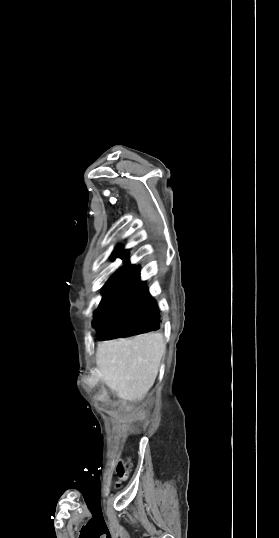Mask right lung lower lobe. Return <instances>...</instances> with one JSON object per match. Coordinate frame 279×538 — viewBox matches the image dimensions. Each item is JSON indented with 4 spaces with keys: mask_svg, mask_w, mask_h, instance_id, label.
Wrapping results in <instances>:
<instances>
[{
    "mask_svg": "<svg viewBox=\"0 0 279 538\" xmlns=\"http://www.w3.org/2000/svg\"><path fill=\"white\" fill-rule=\"evenodd\" d=\"M128 250L117 245L110 257L128 259ZM103 298L93 322L96 337L102 341L131 336L160 328L161 315L146 283L141 284L139 268L128 263L119 269L103 288Z\"/></svg>",
    "mask_w": 279,
    "mask_h": 538,
    "instance_id": "right-lung-lower-lobe-1",
    "label": "right lung lower lobe"
}]
</instances>
